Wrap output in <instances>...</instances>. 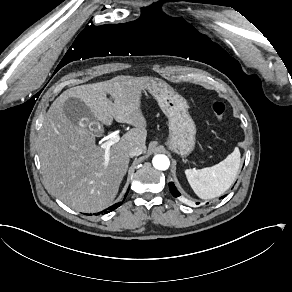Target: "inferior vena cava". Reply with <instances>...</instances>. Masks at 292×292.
<instances>
[{
	"mask_svg": "<svg viewBox=\"0 0 292 292\" xmlns=\"http://www.w3.org/2000/svg\"><path fill=\"white\" fill-rule=\"evenodd\" d=\"M142 152H143V148L141 146H135L131 148L129 152V156L130 157L139 156L142 154Z\"/></svg>",
	"mask_w": 292,
	"mask_h": 292,
	"instance_id": "obj_1",
	"label": "inferior vena cava"
}]
</instances>
